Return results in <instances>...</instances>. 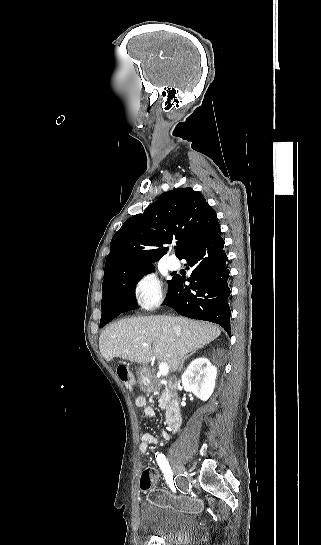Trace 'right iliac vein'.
Segmentation results:
<instances>
[{
  "label": "right iliac vein",
  "mask_w": 321,
  "mask_h": 545,
  "mask_svg": "<svg viewBox=\"0 0 321 545\" xmlns=\"http://www.w3.org/2000/svg\"><path fill=\"white\" fill-rule=\"evenodd\" d=\"M175 470L176 472H179L181 475H184L186 472H185V469L182 465H175Z\"/></svg>",
  "instance_id": "obj_1"
}]
</instances>
